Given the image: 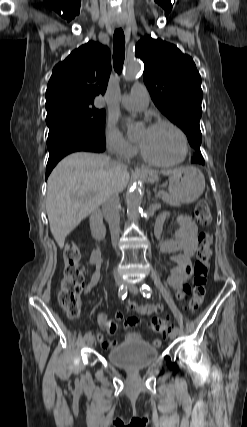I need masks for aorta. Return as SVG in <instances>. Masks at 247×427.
<instances>
[{
  "mask_svg": "<svg viewBox=\"0 0 247 427\" xmlns=\"http://www.w3.org/2000/svg\"><path fill=\"white\" fill-rule=\"evenodd\" d=\"M141 71V63L138 59H128L124 69V78L128 81L133 80ZM127 134L134 135L137 132V125L132 121L126 123ZM143 201V192L139 186L134 185L127 195V213L136 219L141 211V204Z\"/></svg>",
  "mask_w": 247,
  "mask_h": 427,
  "instance_id": "762f6f07",
  "label": "aorta"
}]
</instances>
